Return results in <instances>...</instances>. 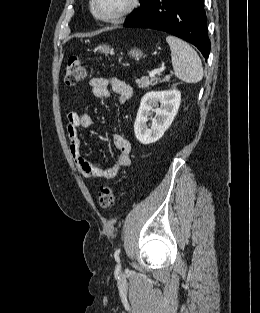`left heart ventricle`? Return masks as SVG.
I'll use <instances>...</instances> for the list:
<instances>
[{
    "label": "left heart ventricle",
    "instance_id": "b2bd125f",
    "mask_svg": "<svg viewBox=\"0 0 260 313\" xmlns=\"http://www.w3.org/2000/svg\"><path fill=\"white\" fill-rule=\"evenodd\" d=\"M129 0H97V9L100 14L110 16L122 11Z\"/></svg>",
    "mask_w": 260,
    "mask_h": 313
}]
</instances>
